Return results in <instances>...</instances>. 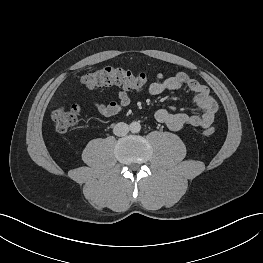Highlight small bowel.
<instances>
[{
  "label": "small bowel",
  "instance_id": "small-bowel-1",
  "mask_svg": "<svg viewBox=\"0 0 263 263\" xmlns=\"http://www.w3.org/2000/svg\"><path fill=\"white\" fill-rule=\"evenodd\" d=\"M183 87L192 91L194 102L200 110L199 114L173 113L167 109H158L155 112V120L166 125L173 131L181 130L185 126H193L207 129L214 122L218 109L217 102L210 95L209 89L196 79L184 72H178L170 77H165L163 73H158L155 80L149 85L148 92L159 95L166 90L174 91ZM118 101L103 103L94 98L92 101L95 110L104 117H112L119 114L124 108L129 106L130 97L124 89L116 92Z\"/></svg>",
  "mask_w": 263,
  "mask_h": 263
}]
</instances>
